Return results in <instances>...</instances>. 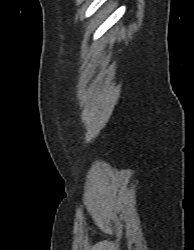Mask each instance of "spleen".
Masks as SVG:
<instances>
[{
	"label": "spleen",
	"instance_id": "3e777b00",
	"mask_svg": "<svg viewBox=\"0 0 194 250\" xmlns=\"http://www.w3.org/2000/svg\"><path fill=\"white\" fill-rule=\"evenodd\" d=\"M108 10H109V8H106L103 12H101V14L104 13V12H107Z\"/></svg>",
	"mask_w": 194,
	"mask_h": 250
}]
</instances>
